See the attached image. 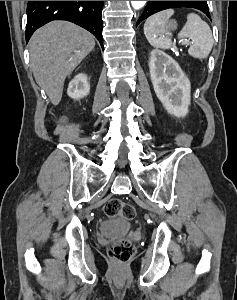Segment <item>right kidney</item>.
I'll return each mask as SVG.
<instances>
[{"label": "right kidney", "instance_id": "obj_1", "mask_svg": "<svg viewBox=\"0 0 237 300\" xmlns=\"http://www.w3.org/2000/svg\"><path fill=\"white\" fill-rule=\"evenodd\" d=\"M89 91L90 85L87 81V77L83 75V73H80V75H76V77L70 81L67 95L71 97V99H83V97L88 95Z\"/></svg>", "mask_w": 237, "mask_h": 300}]
</instances>
